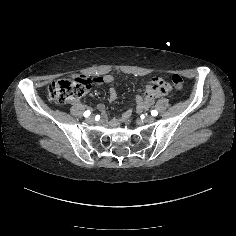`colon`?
I'll list each match as a JSON object with an SVG mask.
<instances>
[{
    "label": "colon",
    "instance_id": "5ec220e1",
    "mask_svg": "<svg viewBox=\"0 0 236 236\" xmlns=\"http://www.w3.org/2000/svg\"><path fill=\"white\" fill-rule=\"evenodd\" d=\"M91 83V79L86 76L58 79L49 85L48 98L54 104H64L83 96ZM172 83L176 89H184V80L180 75H173Z\"/></svg>",
    "mask_w": 236,
    "mask_h": 236
}]
</instances>
